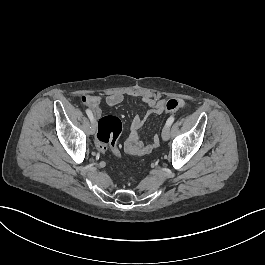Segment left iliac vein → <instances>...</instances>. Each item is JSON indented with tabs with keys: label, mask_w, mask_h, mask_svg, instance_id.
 I'll return each instance as SVG.
<instances>
[{
	"label": "left iliac vein",
	"mask_w": 265,
	"mask_h": 265,
	"mask_svg": "<svg viewBox=\"0 0 265 265\" xmlns=\"http://www.w3.org/2000/svg\"><path fill=\"white\" fill-rule=\"evenodd\" d=\"M169 137H170V128L168 125H165L163 130H162V139L168 140Z\"/></svg>",
	"instance_id": "left-iliac-vein-1"
}]
</instances>
